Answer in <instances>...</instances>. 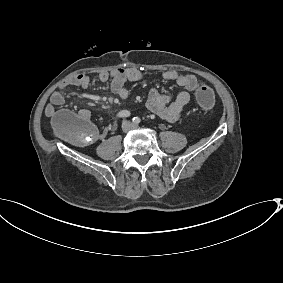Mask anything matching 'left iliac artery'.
Instances as JSON below:
<instances>
[{"label": "left iliac artery", "mask_w": 283, "mask_h": 283, "mask_svg": "<svg viewBox=\"0 0 283 283\" xmlns=\"http://www.w3.org/2000/svg\"><path fill=\"white\" fill-rule=\"evenodd\" d=\"M132 121H133V123H135V124H139V123L141 122V119H140L139 117H134V118L132 119Z\"/></svg>", "instance_id": "obj_1"}]
</instances>
